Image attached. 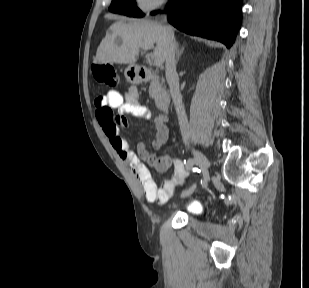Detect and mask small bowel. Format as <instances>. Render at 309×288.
<instances>
[{"label": "small bowel", "mask_w": 309, "mask_h": 288, "mask_svg": "<svg viewBox=\"0 0 309 288\" xmlns=\"http://www.w3.org/2000/svg\"><path fill=\"white\" fill-rule=\"evenodd\" d=\"M96 117L106 138L119 157L130 166L135 175L141 181L145 198L149 202L163 204L173 195L177 185L187 177L188 173L184 166L179 163L172 153L156 156L148 151L144 143H140L134 152L128 141L119 134L117 124L113 120L112 110L117 109L142 120L150 117V111L140 103L138 92L130 88L125 96L112 90L95 100ZM167 117L161 114L156 119V137L151 144L152 149H159L166 143L169 130L166 125ZM127 125V123L125 124ZM144 162L149 163L157 171L164 172L173 166V176L165 180L157 187L150 177V173Z\"/></svg>", "instance_id": "c3829d8e"}]
</instances>
